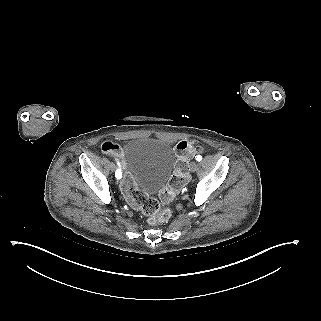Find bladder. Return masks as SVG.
Listing matches in <instances>:
<instances>
[{
  "mask_svg": "<svg viewBox=\"0 0 321 321\" xmlns=\"http://www.w3.org/2000/svg\"><path fill=\"white\" fill-rule=\"evenodd\" d=\"M123 159L134 186L146 195H154L166 183L175 154L172 146L164 140L138 137L126 142Z\"/></svg>",
  "mask_w": 321,
  "mask_h": 321,
  "instance_id": "31cf9c89",
  "label": "bladder"
}]
</instances>
